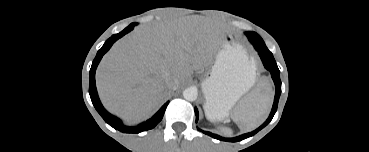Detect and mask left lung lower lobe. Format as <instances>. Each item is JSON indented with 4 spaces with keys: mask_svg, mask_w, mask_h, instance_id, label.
<instances>
[{
    "mask_svg": "<svg viewBox=\"0 0 369 152\" xmlns=\"http://www.w3.org/2000/svg\"><path fill=\"white\" fill-rule=\"evenodd\" d=\"M248 39L253 44L254 48L258 51V54H259V56H260V58H261V60L264 64L265 68L270 71L272 79H273V81L275 83V86H276V94H275V99H274L272 111H271L270 116L268 117V119L265 121V123L262 124L255 131L243 134V135L235 137V138H223V137H220L216 134H212L210 132L203 131L205 134H207V135H209V136H211L215 139H218V140L236 142V141H241L243 139H246L250 136H253L258 131H260L262 128H264L272 120V118H273V116H274V114L277 110L278 101H279V97H280V94H281L280 71L277 67V64L274 60V57H273L272 53L268 50V48L266 47V45H265L264 41L262 40V38H248ZM195 114H196V122H197L198 121V116H199L197 108H195ZM198 130H200V129H198Z\"/></svg>",
    "mask_w": 369,
    "mask_h": 152,
    "instance_id": "0a47b994",
    "label": "left lung lower lobe"
}]
</instances>
